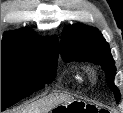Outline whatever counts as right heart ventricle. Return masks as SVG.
Listing matches in <instances>:
<instances>
[{"instance_id": "right-heart-ventricle-1", "label": "right heart ventricle", "mask_w": 123, "mask_h": 113, "mask_svg": "<svg viewBox=\"0 0 123 113\" xmlns=\"http://www.w3.org/2000/svg\"><path fill=\"white\" fill-rule=\"evenodd\" d=\"M72 77V80L77 83V84H82L84 83V80H85V76L82 72L80 71H76L74 73H72L71 75Z\"/></svg>"}]
</instances>
